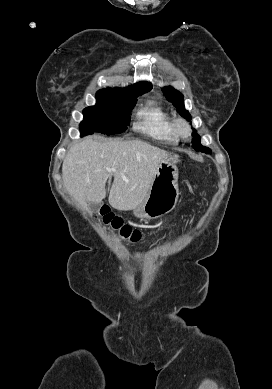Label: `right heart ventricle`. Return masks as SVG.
I'll return each mask as SVG.
<instances>
[{"mask_svg":"<svg viewBox=\"0 0 272 389\" xmlns=\"http://www.w3.org/2000/svg\"><path fill=\"white\" fill-rule=\"evenodd\" d=\"M173 117L157 102L150 100L137 112L136 128L157 140L177 142L173 129Z\"/></svg>","mask_w":272,"mask_h":389,"instance_id":"right-heart-ventricle-1","label":"right heart ventricle"}]
</instances>
